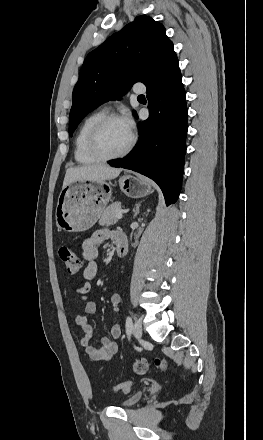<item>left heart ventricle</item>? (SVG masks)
<instances>
[{
	"mask_svg": "<svg viewBox=\"0 0 263 440\" xmlns=\"http://www.w3.org/2000/svg\"><path fill=\"white\" fill-rule=\"evenodd\" d=\"M129 136V128L125 122H109L100 132V148L107 154L117 153L128 143Z\"/></svg>",
	"mask_w": 263,
	"mask_h": 440,
	"instance_id": "left-heart-ventricle-1",
	"label": "left heart ventricle"
}]
</instances>
